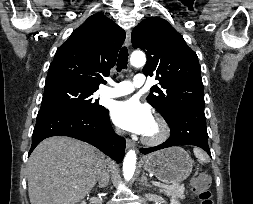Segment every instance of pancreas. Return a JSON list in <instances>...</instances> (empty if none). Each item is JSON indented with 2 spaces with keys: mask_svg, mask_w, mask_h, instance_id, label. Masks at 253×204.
I'll list each match as a JSON object with an SVG mask.
<instances>
[{
  "mask_svg": "<svg viewBox=\"0 0 253 204\" xmlns=\"http://www.w3.org/2000/svg\"><path fill=\"white\" fill-rule=\"evenodd\" d=\"M185 188L183 185H177L174 188H162L160 189V192L165 193L167 196L172 197L173 199H184Z\"/></svg>",
  "mask_w": 253,
  "mask_h": 204,
  "instance_id": "pancreas-1",
  "label": "pancreas"
}]
</instances>
